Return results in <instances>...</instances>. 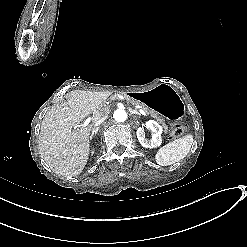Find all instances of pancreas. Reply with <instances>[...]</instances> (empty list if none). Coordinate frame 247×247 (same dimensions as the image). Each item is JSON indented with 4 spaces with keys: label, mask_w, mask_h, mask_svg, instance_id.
Listing matches in <instances>:
<instances>
[{
    "label": "pancreas",
    "mask_w": 247,
    "mask_h": 247,
    "mask_svg": "<svg viewBox=\"0 0 247 247\" xmlns=\"http://www.w3.org/2000/svg\"><path fill=\"white\" fill-rule=\"evenodd\" d=\"M117 99L126 100V102L129 105H132L134 108H137L139 106L140 109L145 110V113L147 115H151L152 117H154V119L156 121H158V123L164 129V132L165 133L167 132V130H168L167 122L162 118V116L159 112L152 110L147 104L141 103L139 105V103L137 101H134V99L132 97L125 96L124 94H118Z\"/></svg>",
    "instance_id": "obj_1"
}]
</instances>
